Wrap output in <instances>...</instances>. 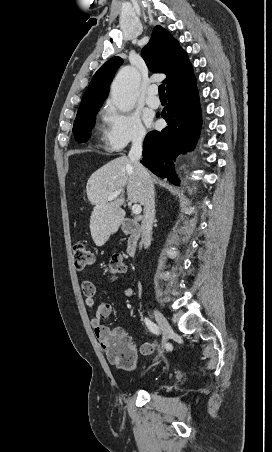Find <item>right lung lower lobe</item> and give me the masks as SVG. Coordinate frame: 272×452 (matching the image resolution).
<instances>
[{
  "instance_id": "obj_1",
  "label": "right lung lower lobe",
  "mask_w": 272,
  "mask_h": 452,
  "mask_svg": "<svg viewBox=\"0 0 272 452\" xmlns=\"http://www.w3.org/2000/svg\"><path fill=\"white\" fill-rule=\"evenodd\" d=\"M161 115L168 126L147 134L141 163L160 178L179 185L173 161L194 147L201 128L195 76L168 92V104Z\"/></svg>"
}]
</instances>
